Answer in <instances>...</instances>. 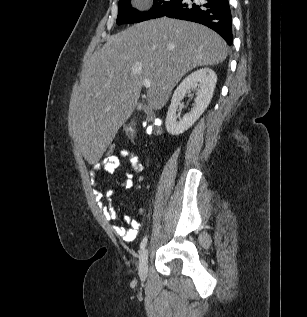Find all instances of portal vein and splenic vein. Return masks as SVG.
<instances>
[{
    "mask_svg": "<svg viewBox=\"0 0 307 317\" xmlns=\"http://www.w3.org/2000/svg\"><path fill=\"white\" fill-rule=\"evenodd\" d=\"M143 85H144V87L149 88V87L151 86V81L148 80V79H145V80L143 81Z\"/></svg>",
    "mask_w": 307,
    "mask_h": 317,
    "instance_id": "1",
    "label": "portal vein and splenic vein"
}]
</instances>
